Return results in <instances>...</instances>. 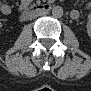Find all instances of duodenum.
Here are the masks:
<instances>
[{
  "instance_id": "410a0bca",
  "label": "duodenum",
  "mask_w": 91,
  "mask_h": 91,
  "mask_svg": "<svg viewBox=\"0 0 91 91\" xmlns=\"http://www.w3.org/2000/svg\"><path fill=\"white\" fill-rule=\"evenodd\" d=\"M54 7L51 3H38V4H32L28 8H26L22 15L21 20L26 21L32 17H35L39 14L47 13Z\"/></svg>"
}]
</instances>
